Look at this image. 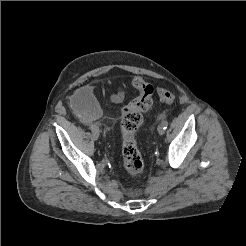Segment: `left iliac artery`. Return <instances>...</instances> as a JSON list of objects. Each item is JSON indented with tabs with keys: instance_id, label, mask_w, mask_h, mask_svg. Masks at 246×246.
<instances>
[{
	"instance_id": "44dca946",
	"label": "left iliac artery",
	"mask_w": 246,
	"mask_h": 246,
	"mask_svg": "<svg viewBox=\"0 0 246 246\" xmlns=\"http://www.w3.org/2000/svg\"><path fill=\"white\" fill-rule=\"evenodd\" d=\"M162 125H163L164 129H166L167 126H168V122H167V121H163V122H162Z\"/></svg>"
}]
</instances>
